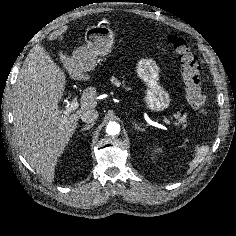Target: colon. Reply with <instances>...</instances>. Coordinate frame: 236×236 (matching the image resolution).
Wrapping results in <instances>:
<instances>
[{"instance_id": "1", "label": "colon", "mask_w": 236, "mask_h": 236, "mask_svg": "<svg viewBox=\"0 0 236 236\" xmlns=\"http://www.w3.org/2000/svg\"><path fill=\"white\" fill-rule=\"evenodd\" d=\"M169 43L177 54L184 80L186 98L190 106L200 115H206V98L202 92L198 59L192 46L185 39L172 35Z\"/></svg>"}]
</instances>
